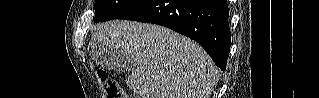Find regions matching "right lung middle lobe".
Here are the masks:
<instances>
[{
	"mask_svg": "<svg viewBox=\"0 0 319 98\" xmlns=\"http://www.w3.org/2000/svg\"><path fill=\"white\" fill-rule=\"evenodd\" d=\"M146 0H95L94 22L116 19L135 9Z\"/></svg>",
	"mask_w": 319,
	"mask_h": 98,
	"instance_id": "right-lung-middle-lobe-1",
	"label": "right lung middle lobe"
}]
</instances>
